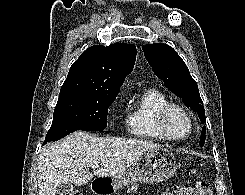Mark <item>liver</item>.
I'll return each mask as SVG.
<instances>
[{
    "label": "liver",
    "instance_id": "6515ba94",
    "mask_svg": "<svg viewBox=\"0 0 245 195\" xmlns=\"http://www.w3.org/2000/svg\"><path fill=\"white\" fill-rule=\"evenodd\" d=\"M160 149L158 144L138 139L96 137L74 132L42 149L37 167L39 195H55L62 183L83 185L93 176L113 177L136 162L147 151ZM101 164L93 173L92 165Z\"/></svg>",
    "mask_w": 245,
    "mask_h": 195
}]
</instances>
